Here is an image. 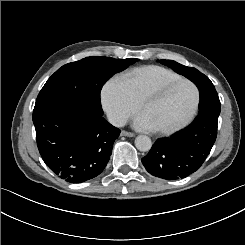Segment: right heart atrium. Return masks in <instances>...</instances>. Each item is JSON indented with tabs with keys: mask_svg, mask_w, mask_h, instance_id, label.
Returning a JSON list of instances; mask_svg holds the SVG:
<instances>
[{
	"mask_svg": "<svg viewBox=\"0 0 245 245\" xmlns=\"http://www.w3.org/2000/svg\"><path fill=\"white\" fill-rule=\"evenodd\" d=\"M101 99L110 120L116 125L126 123L137 110V102L114 78L104 85Z\"/></svg>",
	"mask_w": 245,
	"mask_h": 245,
	"instance_id": "d8ad5b80",
	"label": "right heart atrium"
}]
</instances>
